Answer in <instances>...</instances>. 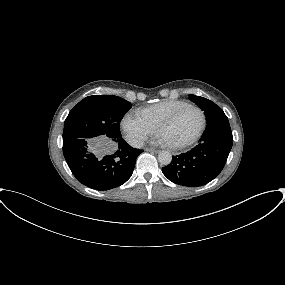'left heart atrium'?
Instances as JSON below:
<instances>
[{"label":"left heart atrium","instance_id":"obj_1","mask_svg":"<svg viewBox=\"0 0 285 285\" xmlns=\"http://www.w3.org/2000/svg\"><path fill=\"white\" fill-rule=\"evenodd\" d=\"M160 141L164 144H167V142L165 141V139L163 137L160 138Z\"/></svg>","mask_w":285,"mask_h":285}]
</instances>
